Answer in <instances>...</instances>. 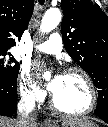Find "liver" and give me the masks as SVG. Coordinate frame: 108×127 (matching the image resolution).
Listing matches in <instances>:
<instances>
[{
    "instance_id": "liver-1",
    "label": "liver",
    "mask_w": 108,
    "mask_h": 127,
    "mask_svg": "<svg viewBox=\"0 0 108 127\" xmlns=\"http://www.w3.org/2000/svg\"><path fill=\"white\" fill-rule=\"evenodd\" d=\"M63 125L66 124H78L81 126H86V125H94L93 122L89 121L88 119H69L65 120L62 122ZM31 127H38L37 122H34L31 124ZM0 127H21L19 123V119H12V118H6V117H0Z\"/></svg>"
}]
</instances>
